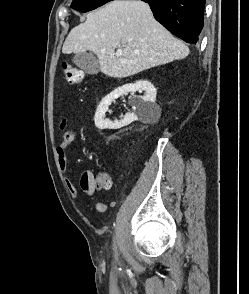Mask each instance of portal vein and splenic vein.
Here are the masks:
<instances>
[{"label": "portal vein and splenic vein", "mask_w": 249, "mask_h": 294, "mask_svg": "<svg viewBox=\"0 0 249 294\" xmlns=\"http://www.w3.org/2000/svg\"><path fill=\"white\" fill-rule=\"evenodd\" d=\"M116 56L118 57L122 56V49H117Z\"/></svg>", "instance_id": "1"}]
</instances>
